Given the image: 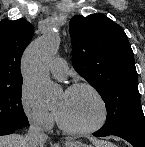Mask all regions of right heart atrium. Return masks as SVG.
<instances>
[{
  "label": "right heart atrium",
  "mask_w": 145,
  "mask_h": 147,
  "mask_svg": "<svg viewBox=\"0 0 145 147\" xmlns=\"http://www.w3.org/2000/svg\"><path fill=\"white\" fill-rule=\"evenodd\" d=\"M19 106L23 116L31 125L45 131L53 128L56 121L54 110L42 106L25 83L20 88Z\"/></svg>",
  "instance_id": "d8ad5b80"
}]
</instances>
